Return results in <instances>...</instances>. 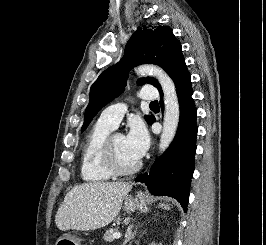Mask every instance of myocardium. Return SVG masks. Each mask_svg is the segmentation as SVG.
<instances>
[{"mask_svg":"<svg viewBox=\"0 0 266 245\" xmlns=\"http://www.w3.org/2000/svg\"><path fill=\"white\" fill-rule=\"evenodd\" d=\"M116 134L110 133L102 146L101 150V162L105 170L112 176V177H127L135 174L141 167V163L139 161L131 167L130 169L123 170L118 167L113 150H112V140Z\"/></svg>","mask_w":266,"mask_h":245,"instance_id":"1","label":"myocardium"}]
</instances>
